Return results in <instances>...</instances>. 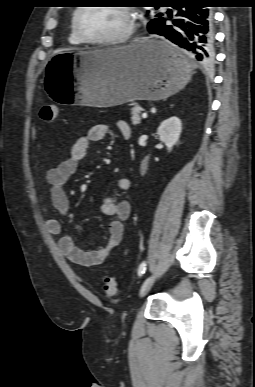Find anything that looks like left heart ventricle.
I'll return each instance as SVG.
<instances>
[{
  "label": "left heart ventricle",
  "instance_id": "obj_1",
  "mask_svg": "<svg viewBox=\"0 0 255 387\" xmlns=\"http://www.w3.org/2000/svg\"><path fill=\"white\" fill-rule=\"evenodd\" d=\"M78 22L83 33L93 39L118 36L127 26L125 15L116 7H87Z\"/></svg>",
  "mask_w": 255,
  "mask_h": 387
}]
</instances>
